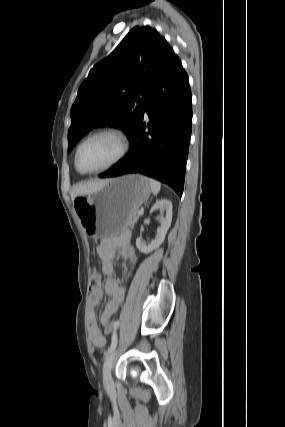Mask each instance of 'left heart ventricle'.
<instances>
[{"label":"left heart ventricle","instance_id":"b2bd125f","mask_svg":"<svg viewBox=\"0 0 285 427\" xmlns=\"http://www.w3.org/2000/svg\"><path fill=\"white\" fill-rule=\"evenodd\" d=\"M121 149L120 141L112 135H100L89 140L80 150L79 165L85 171L102 168L113 161Z\"/></svg>","mask_w":285,"mask_h":427}]
</instances>
